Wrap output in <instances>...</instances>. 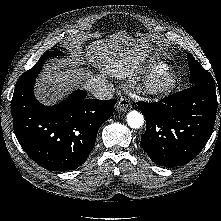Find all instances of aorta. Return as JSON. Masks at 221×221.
<instances>
[{"label": "aorta", "instance_id": "762f6f07", "mask_svg": "<svg viewBox=\"0 0 221 221\" xmlns=\"http://www.w3.org/2000/svg\"><path fill=\"white\" fill-rule=\"evenodd\" d=\"M127 123L133 129H138L143 126L144 124V117L143 115L136 111L132 110L127 114Z\"/></svg>", "mask_w": 221, "mask_h": 221}]
</instances>
